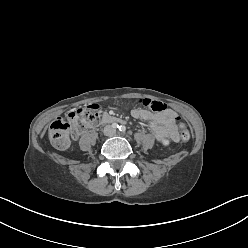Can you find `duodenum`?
Returning <instances> with one entry per match:
<instances>
[{
	"mask_svg": "<svg viewBox=\"0 0 248 248\" xmlns=\"http://www.w3.org/2000/svg\"><path fill=\"white\" fill-rule=\"evenodd\" d=\"M124 120L119 118V117H116V116H113V115H109V114H105L100 123L102 124H105V123H123Z\"/></svg>",
	"mask_w": 248,
	"mask_h": 248,
	"instance_id": "duodenum-1",
	"label": "duodenum"
}]
</instances>
